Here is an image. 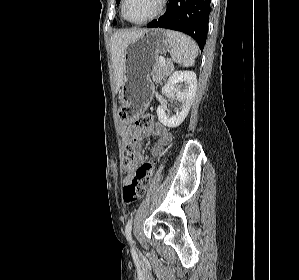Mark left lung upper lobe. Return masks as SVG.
I'll use <instances>...</instances> for the list:
<instances>
[{
	"label": "left lung upper lobe",
	"instance_id": "left-lung-upper-lobe-1",
	"mask_svg": "<svg viewBox=\"0 0 299 280\" xmlns=\"http://www.w3.org/2000/svg\"><path fill=\"white\" fill-rule=\"evenodd\" d=\"M119 4V0H117V5ZM116 24V21H114L113 22V25H115Z\"/></svg>",
	"mask_w": 299,
	"mask_h": 280
}]
</instances>
